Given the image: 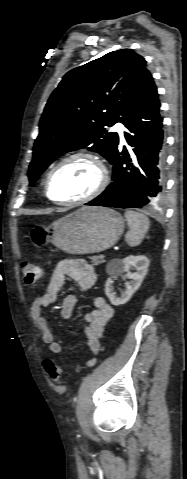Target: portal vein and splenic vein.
<instances>
[{"label":"portal vein and splenic vein","instance_id":"18ae733b","mask_svg":"<svg viewBox=\"0 0 187 479\" xmlns=\"http://www.w3.org/2000/svg\"><path fill=\"white\" fill-rule=\"evenodd\" d=\"M100 257H101V258H104V255H103V254H101V255H100Z\"/></svg>","mask_w":187,"mask_h":479}]
</instances>
